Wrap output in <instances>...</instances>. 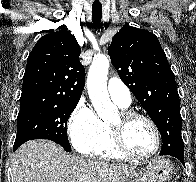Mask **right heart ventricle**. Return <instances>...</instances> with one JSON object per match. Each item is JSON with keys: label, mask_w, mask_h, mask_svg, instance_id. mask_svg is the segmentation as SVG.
<instances>
[{"label": "right heart ventricle", "mask_w": 196, "mask_h": 182, "mask_svg": "<svg viewBox=\"0 0 196 182\" xmlns=\"http://www.w3.org/2000/svg\"><path fill=\"white\" fill-rule=\"evenodd\" d=\"M120 107L126 108L124 106H120ZM102 124H103V137L100 144L92 154L99 158L107 159V160H114V161L125 160L126 157L123 156L121 153H119L113 146L108 125L103 122Z\"/></svg>", "instance_id": "1"}]
</instances>
